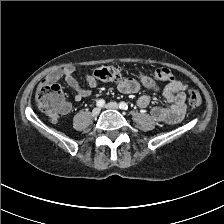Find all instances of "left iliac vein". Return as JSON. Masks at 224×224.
<instances>
[{"label":"left iliac vein","instance_id":"obj_1","mask_svg":"<svg viewBox=\"0 0 224 224\" xmlns=\"http://www.w3.org/2000/svg\"><path fill=\"white\" fill-rule=\"evenodd\" d=\"M105 108L107 109H119V104L116 102H110L108 103Z\"/></svg>","mask_w":224,"mask_h":224}]
</instances>
